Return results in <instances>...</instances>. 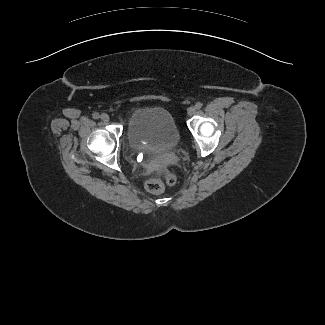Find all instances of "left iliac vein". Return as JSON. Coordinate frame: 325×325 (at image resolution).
<instances>
[{
	"label": "left iliac vein",
	"mask_w": 325,
	"mask_h": 325,
	"mask_svg": "<svg viewBox=\"0 0 325 325\" xmlns=\"http://www.w3.org/2000/svg\"><path fill=\"white\" fill-rule=\"evenodd\" d=\"M196 107L195 106H191V107H189L188 108V115L189 116H193V115H195V113H196Z\"/></svg>",
	"instance_id": "obj_1"
}]
</instances>
